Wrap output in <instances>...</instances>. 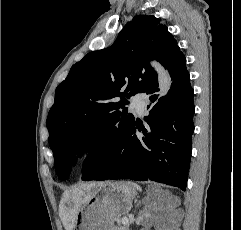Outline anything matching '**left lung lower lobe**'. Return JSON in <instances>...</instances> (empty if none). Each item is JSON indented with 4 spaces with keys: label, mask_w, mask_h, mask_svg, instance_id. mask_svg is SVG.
Returning a JSON list of instances; mask_svg holds the SVG:
<instances>
[{
    "label": "left lung lower lobe",
    "mask_w": 241,
    "mask_h": 230,
    "mask_svg": "<svg viewBox=\"0 0 241 230\" xmlns=\"http://www.w3.org/2000/svg\"><path fill=\"white\" fill-rule=\"evenodd\" d=\"M168 71L171 89L157 101L158 82L148 88L149 115L145 124L133 122L114 141H103L84 160L82 180H153L185 190L191 159L194 90L186 58L178 55ZM136 129L143 136L137 137Z\"/></svg>",
    "instance_id": "left-lung-lower-lobe-1"
}]
</instances>
